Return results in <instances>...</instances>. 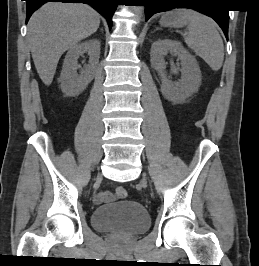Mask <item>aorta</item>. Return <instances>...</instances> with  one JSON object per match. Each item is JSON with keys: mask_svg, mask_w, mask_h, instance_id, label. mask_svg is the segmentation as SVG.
I'll return each mask as SVG.
<instances>
[{"mask_svg": "<svg viewBox=\"0 0 259 266\" xmlns=\"http://www.w3.org/2000/svg\"><path fill=\"white\" fill-rule=\"evenodd\" d=\"M133 12L137 15V16H141L143 13V7L141 6H133Z\"/></svg>", "mask_w": 259, "mask_h": 266, "instance_id": "762f6f07", "label": "aorta"}]
</instances>
